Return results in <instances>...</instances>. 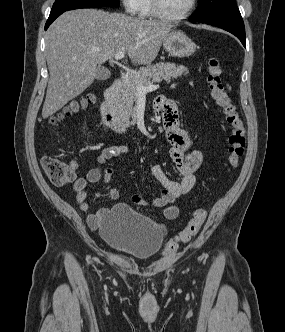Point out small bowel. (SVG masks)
<instances>
[{
	"mask_svg": "<svg viewBox=\"0 0 285 332\" xmlns=\"http://www.w3.org/2000/svg\"><path fill=\"white\" fill-rule=\"evenodd\" d=\"M156 111L163 115V126L165 137L170 144L169 157L177 166L180 173V180L170 179L164 172L160 164H154L151 167L152 175L162 185V191L159 196L151 201L133 196V201L141 206H152L154 208H164V215L167 219L177 218L179 208L175 204L176 200L189 193L196 183L195 172L199 169L203 161V155L198 150H191L192 139L190 135L180 128L178 112L175 104L164 97H159L154 104ZM127 145H110L105 147L98 156V163L104 165V168L95 167L90 169L85 177L77 178L73 183V190L76 193V201L81 211H87L89 204L87 202L88 193L86 187L88 183H97L103 179L106 184L110 198L117 200L121 198L120 191L112 186L114 174L113 158L127 153ZM73 169L78 171L77 162L71 163ZM105 211L88 215V224L96 229L100 226Z\"/></svg>",
	"mask_w": 285,
	"mask_h": 332,
	"instance_id": "small-bowel-1",
	"label": "small bowel"
}]
</instances>
